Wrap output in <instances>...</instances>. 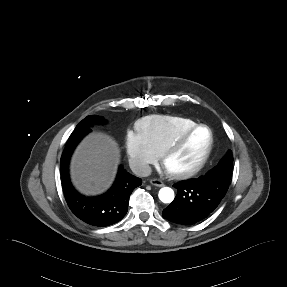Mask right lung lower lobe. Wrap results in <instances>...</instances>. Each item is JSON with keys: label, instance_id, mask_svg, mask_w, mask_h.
Returning <instances> with one entry per match:
<instances>
[{"label": "right lung lower lobe", "instance_id": "1", "mask_svg": "<svg viewBox=\"0 0 287 287\" xmlns=\"http://www.w3.org/2000/svg\"><path fill=\"white\" fill-rule=\"evenodd\" d=\"M90 131V127L78 128L69 137L60 160L62 188L66 202L77 218L92 226L105 227L125 216L130 195L142 181L120 167L113 186L105 194L97 197L81 195L71 184L69 161L77 144Z\"/></svg>", "mask_w": 287, "mask_h": 287}]
</instances>
